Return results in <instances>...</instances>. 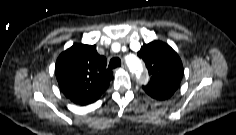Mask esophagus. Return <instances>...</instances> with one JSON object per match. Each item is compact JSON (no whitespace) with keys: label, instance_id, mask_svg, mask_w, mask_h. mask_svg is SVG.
<instances>
[{"label":"esophagus","instance_id":"obj_1","mask_svg":"<svg viewBox=\"0 0 236 135\" xmlns=\"http://www.w3.org/2000/svg\"><path fill=\"white\" fill-rule=\"evenodd\" d=\"M121 68L124 70H128V67L126 65H122Z\"/></svg>","mask_w":236,"mask_h":135}]
</instances>
